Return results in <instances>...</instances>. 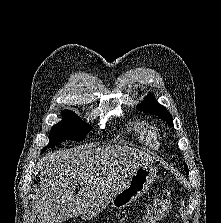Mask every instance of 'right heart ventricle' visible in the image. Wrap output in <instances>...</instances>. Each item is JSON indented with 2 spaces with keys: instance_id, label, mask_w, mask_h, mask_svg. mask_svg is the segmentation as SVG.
Returning <instances> with one entry per match:
<instances>
[{
  "instance_id": "right-heart-ventricle-1",
  "label": "right heart ventricle",
  "mask_w": 221,
  "mask_h": 223,
  "mask_svg": "<svg viewBox=\"0 0 221 223\" xmlns=\"http://www.w3.org/2000/svg\"><path fill=\"white\" fill-rule=\"evenodd\" d=\"M134 132L139 139L150 145H157V132L145 123H137Z\"/></svg>"
}]
</instances>
